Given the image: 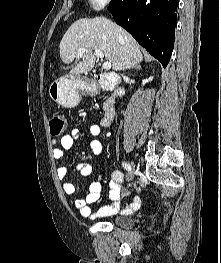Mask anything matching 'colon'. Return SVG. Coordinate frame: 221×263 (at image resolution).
<instances>
[{"label":"colon","instance_id":"5ec220e1","mask_svg":"<svg viewBox=\"0 0 221 263\" xmlns=\"http://www.w3.org/2000/svg\"><path fill=\"white\" fill-rule=\"evenodd\" d=\"M67 129V121L64 115L54 114L49 121V130L52 137L62 136Z\"/></svg>","mask_w":221,"mask_h":263}]
</instances>
